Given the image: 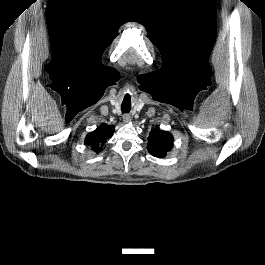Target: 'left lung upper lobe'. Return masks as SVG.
<instances>
[{
    "mask_svg": "<svg viewBox=\"0 0 265 265\" xmlns=\"http://www.w3.org/2000/svg\"><path fill=\"white\" fill-rule=\"evenodd\" d=\"M173 147V136L155 127L148 137V151L156 157H164Z\"/></svg>",
    "mask_w": 265,
    "mask_h": 265,
    "instance_id": "obj_1",
    "label": "left lung upper lobe"
}]
</instances>
